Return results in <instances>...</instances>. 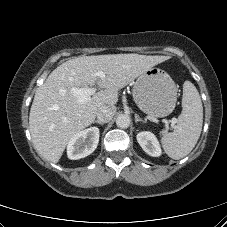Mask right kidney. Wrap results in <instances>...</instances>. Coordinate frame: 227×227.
Returning <instances> with one entry per match:
<instances>
[{"mask_svg":"<svg viewBox=\"0 0 227 227\" xmlns=\"http://www.w3.org/2000/svg\"><path fill=\"white\" fill-rule=\"evenodd\" d=\"M99 142V129L91 127L76 133L68 142L67 155L71 160H77L90 155Z\"/></svg>","mask_w":227,"mask_h":227,"instance_id":"1","label":"right kidney"}]
</instances>
